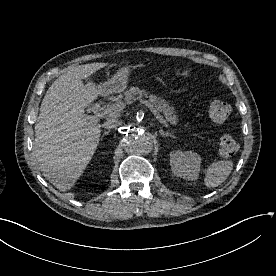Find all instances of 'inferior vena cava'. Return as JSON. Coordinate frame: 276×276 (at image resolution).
Here are the masks:
<instances>
[{"instance_id": "602c4592", "label": "inferior vena cava", "mask_w": 276, "mask_h": 276, "mask_svg": "<svg viewBox=\"0 0 276 276\" xmlns=\"http://www.w3.org/2000/svg\"><path fill=\"white\" fill-rule=\"evenodd\" d=\"M120 125H121V121H119L118 119H115V118H110L107 121H105L102 126L105 129H113V128L119 127Z\"/></svg>"}]
</instances>
